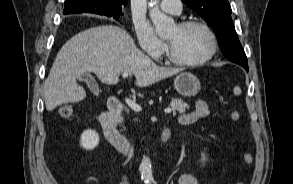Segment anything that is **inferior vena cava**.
I'll return each instance as SVG.
<instances>
[{
  "label": "inferior vena cava",
  "instance_id": "602c4592",
  "mask_svg": "<svg viewBox=\"0 0 293 184\" xmlns=\"http://www.w3.org/2000/svg\"><path fill=\"white\" fill-rule=\"evenodd\" d=\"M132 154H133V148H132L131 151H130V156H132Z\"/></svg>",
  "mask_w": 293,
  "mask_h": 184
}]
</instances>
